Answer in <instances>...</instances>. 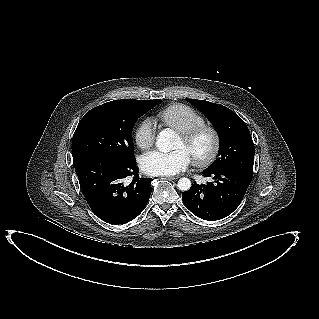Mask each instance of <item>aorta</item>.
I'll use <instances>...</instances> for the list:
<instances>
[{"label":"aorta","instance_id":"1","mask_svg":"<svg viewBox=\"0 0 319 319\" xmlns=\"http://www.w3.org/2000/svg\"><path fill=\"white\" fill-rule=\"evenodd\" d=\"M175 143H176L175 133L173 132V130L167 128L162 130L159 133L157 137V141H156V146L159 151L166 153L173 149ZM177 186L180 190L187 191L191 187V181L190 179L185 177L180 178L178 180Z\"/></svg>","mask_w":319,"mask_h":319}]
</instances>
